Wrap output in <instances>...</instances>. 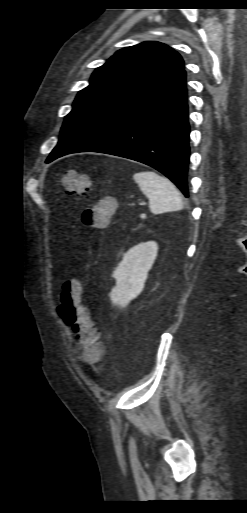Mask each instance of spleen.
Here are the masks:
<instances>
[{
    "label": "spleen",
    "mask_w": 247,
    "mask_h": 513,
    "mask_svg": "<svg viewBox=\"0 0 247 513\" xmlns=\"http://www.w3.org/2000/svg\"><path fill=\"white\" fill-rule=\"evenodd\" d=\"M133 180L149 199L150 211L157 215L184 208V201L174 184L153 171L136 172Z\"/></svg>",
    "instance_id": "spleen-1"
}]
</instances>
